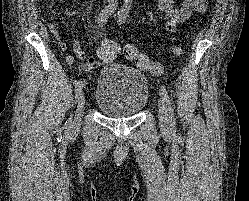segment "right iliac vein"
Segmentation results:
<instances>
[{
	"mask_svg": "<svg viewBox=\"0 0 249 201\" xmlns=\"http://www.w3.org/2000/svg\"><path fill=\"white\" fill-rule=\"evenodd\" d=\"M84 107H85V96L82 93L79 96V100L77 103V108H76V113H75V118L73 121V128L74 129H78L79 126L81 125V121H82V117H83V113H84Z\"/></svg>",
	"mask_w": 249,
	"mask_h": 201,
	"instance_id": "right-iliac-vein-1",
	"label": "right iliac vein"
}]
</instances>
